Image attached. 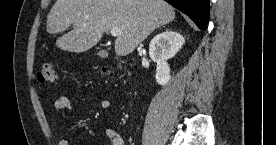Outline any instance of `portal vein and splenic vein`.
<instances>
[{
    "label": "portal vein and splenic vein",
    "mask_w": 276,
    "mask_h": 145,
    "mask_svg": "<svg viewBox=\"0 0 276 145\" xmlns=\"http://www.w3.org/2000/svg\"><path fill=\"white\" fill-rule=\"evenodd\" d=\"M121 32V29L117 27L112 28L110 31L111 35L114 37H118L119 35H121Z\"/></svg>",
    "instance_id": "1"
}]
</instances>
